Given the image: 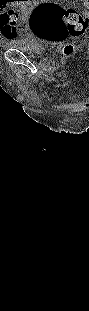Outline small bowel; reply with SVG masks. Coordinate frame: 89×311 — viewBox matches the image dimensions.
Wrapping results in <instances>:
<instances>
[{
	"label": "small bowel",
	"mask_w": 89,
	"mask_h": 311,
	"mask_svg": "<svg viewBox=\"0 0 89 311\" xmlns=\"http://www.w3.org/2000/svg\"><path fill=\"white\" fill-rule=\"evenodd\" d=\"M12 32V33H10ZM3 37L5 39V43H12L17 36L18 31L16 29L10 28L8 25L4 26Z\"/></svg>",
	"instance_id": "1"
}]
</instances>
